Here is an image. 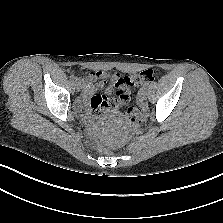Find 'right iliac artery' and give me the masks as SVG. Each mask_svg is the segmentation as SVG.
<instances>
[{
  "label": "right iliac artery",
  "mask_w": 223,
  "mask_h": 223,
  "mask_svg": "<svg viewBox=\"0 0 223 223\" xmlns=\"http://www.w3.org/2000/svg\"><path fill=\"white\" fill-rule=\"evenodd\" d=\"M72 79L78 80L74 75L71 76Z\"/></svg>",
  "instance_id": "1"
}]
</instances>
